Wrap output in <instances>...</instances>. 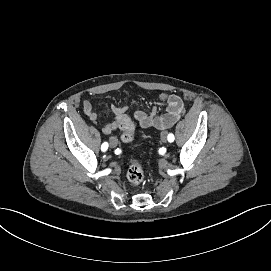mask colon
Returning a JSON list of instances; mask_svg holds the SVG:
<instances>
[{
	"instance_id": "5ec220e1",
	"label": "colon",
	"mask_w": 271,
	"mask_h": 271,
	"mask_svg": "<svg viewBox=\"0 0 271 271\" xmlns=\"http://www.w3.org/2000/svg\"><path fill=\"white\" fill-rule=\"evenodd\" d=\"M120 130L122 132L121 139L125 143H130L134 139L135 124L131 117L126 116L120 123ZM128 180L134 184L139 185L144 180V170L139 160H133L127 171Z\"/></svg>"
}]
</instances>
